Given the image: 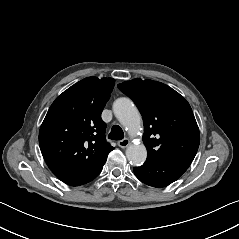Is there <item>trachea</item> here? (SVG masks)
<instances>
[{"instance_id":"trachea-1","label":"trachea","mask_w":239,"mask_h":239,"mask_svg":"<svg viewBox=\"0 0 239 239\" xmlns=\"http://www.w3.org/2000/svg\"><path fill=\"white\" fill-rule=\"evenodd\" d=\"M108 138L111 140L119 141L124 138V133L120 126L114 125L108 135Z\"/></svg>"}]
</instances>
